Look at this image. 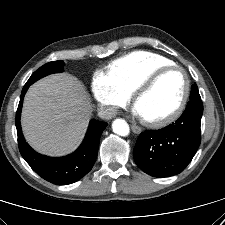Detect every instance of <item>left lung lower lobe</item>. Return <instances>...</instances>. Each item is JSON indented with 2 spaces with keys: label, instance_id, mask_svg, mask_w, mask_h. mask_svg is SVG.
<instances>
[{
  "label": "left lung lower lobe",
  "instance_id": "obj_1",
  "mask_svg": "<svg viewBox=\"0 0 225 225\" xmlns=\"http://www.w3.org/2000/svg\"><path fill=\"white\" fill-rule=\"evenodd\" d=\"M202 114L201 97L193 98L175 123L141 133L133 150L137 166L153 177L181 173L200 145Z\"/></svg>",
  "mask_w": 225,
  "mask_h": 225
}]
</instances>
